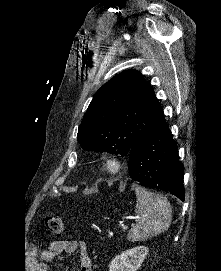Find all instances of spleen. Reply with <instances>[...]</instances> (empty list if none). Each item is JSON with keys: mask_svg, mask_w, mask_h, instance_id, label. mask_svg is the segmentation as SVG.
Segmentation results:
<instances>
[{"mask_svg": "<svg viewBox=\"0 0 221 271\" xmlns=\"http://www.w3.org/2000/svg\"><path fill=\"white\" fill-rule=\"evenodd\" d=\"M137 223L128 231L129 241H140L159 235L170 227L172 207L170 201L160 193H151L144 187H136Z\"/></svg>", "mask_w": 221, "mask_h": 271, "instance_id": "spleen-1", "label": "spleen"}]
</instances>
